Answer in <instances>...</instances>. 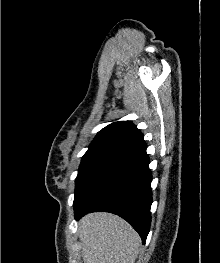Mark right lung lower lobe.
<instances>
[{"label": "right lung lower lobe", "instance_id": "98d812e1", "mask_svg": "<svg viewBox=\"0 0 220 263\" xmlns=\"http://www.w3.org/2000/svg\"><path fill=\"white\" fill-rule=\"evenodd\" d=\"M146 148L143 141L109 160L73 204L75 219L94 211L117 214L134 227L144 244L152 204V176Z\"/></svg>", "mask_w": 220, "mask_h": 263}]
</instances>
